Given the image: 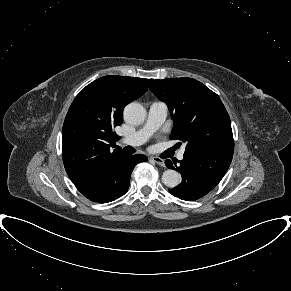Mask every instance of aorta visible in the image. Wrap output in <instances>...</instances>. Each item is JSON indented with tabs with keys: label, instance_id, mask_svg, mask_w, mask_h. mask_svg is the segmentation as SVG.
<instances>
[{
	"label": "aorta",
	"instance_id": "aorta-1",
	"mask_svg": "<svg viewBox=\"0 0 291 291\" xmlns=\"http://www.w3.org/2000/svg\"><path fill=\"white\" fill-rule=\"evenodd\" d=\"M145 117V108L137 102L129 103L124 109V119L131 124H141ZM162 182L165 186L174 188L180 183V174L175 170L167 169L162 174Z\"/></svg>",
	"mask_w": 291,
	"mask_h": 291
}]
</instances>
